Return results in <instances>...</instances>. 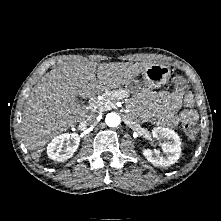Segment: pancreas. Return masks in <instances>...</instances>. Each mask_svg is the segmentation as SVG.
Listing matches in <instances>:
<instances>
[{
	"label": "pancreas",
	"mask_w": 221,
	"mask_h": 221,
	"mask_svg": "<svg viewBox=\"0 0 221 221\" xmlns=\"http://www.w3.org/2000/svg\"><path fill=\"white\" fill-rule=\"evenodd\" d=\"M128 95V92L123 89L106 92L102 95L100 100L96 101L95 109H98L100 112L114 109L115 101L124 99L128 97ZM127 103L131 104V101L128 100Z\"/></svg>",
	"instance_id": "obj_1"
}]
</instances>
